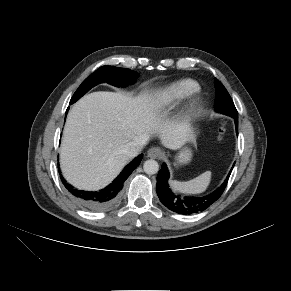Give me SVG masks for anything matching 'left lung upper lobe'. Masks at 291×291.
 I'll return each instance as SVG.
<instances>
[{
  "instance_id": "left-lung-upper-lobe-1",
  "label": "left lung upper lobe",
  "mask_w": 291,
  "mask_h": 291,
  "mask_svg": "<svg viewBox=\"0 0 291 291\" xmlns=\"http://www.w3.org/2000/svg\"><path fill=\"white\" fill-rule=\"evenodd\" d=\"M214 84L216 91L214 104L215 111L228 114L231 116L233 115L238 116L237 110L228 91L216 78L214 79Z\"/></svg>"
}]
</instances>
